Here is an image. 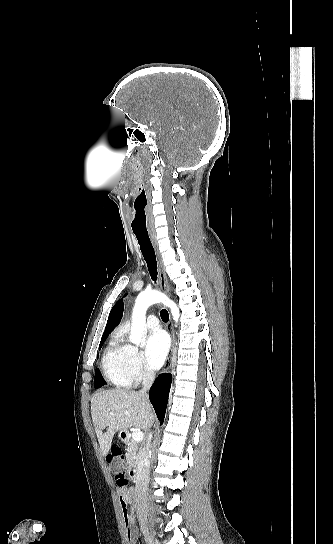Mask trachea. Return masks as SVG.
Instances as JSON below:
<instances>
[{"label": "trachea", "instance_id": "1", "mask_svg": "<svg viewBox=\"0 0 333 544\" xmlns=\"http://www.w3.org/2000/svg\"><path fill=\"white\" fill-rule=\"evenodd\" d=\"M135 235L140 245V250L142 252V255L147 263L150 276L153 281H156L157 280V261H156V255H155L153 246L151 244L149 235L148 233L146 234V233H136V232H135ZM160 316L164 322H167L169 320V314L166 309H162L160 311Z\"/></svg>", "mask_w": 333, "mask_h": 544}]
</instances>
